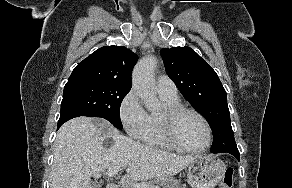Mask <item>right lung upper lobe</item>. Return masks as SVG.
Returning a JSON list of instances; mask_svg holds the SVG:
<instances>
[{"instance_id":"cb5924a9","label":"right lung upper lobe","mask_w":292,"mask_h":188,"mask_svg":"<svg viewBox=\"0 0 292 188\" xmlns=\"http://www.w3.org/2000/svg\"><path fill=\"white\" fill-rule=\"evenodd\" d=\"M137 60L138 56L126 47L103 46L81 61L68 81H95L131 89Z\"/></svg>"}]
</instances>
